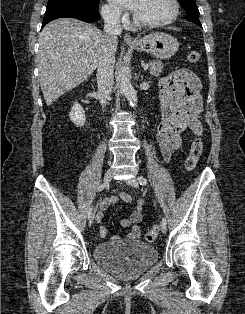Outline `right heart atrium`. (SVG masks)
I'll return each instance as SVG.
<instances>
[{
  "mask_svg": "<svg viewBox=\"0 0 245 314\" xmlns=\"http://www.w3.org/2000/svg\"><path fill=\"white\" fill-rule=\"evenodd\" d=\"M102 15L104 19L111 24H118L124 19L121 11L110 4H105L102 7Z\"/></svg>",
  "mask_w": 245,
  "mask_h": 314,
  "instance_id": "1",
  "label": "right heart atrium"
}]
</instances>
